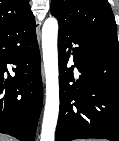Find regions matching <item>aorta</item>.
<instances>
[{"instance_id": "aorta-1", "label": "aorta", "mask_w": 119, "mask_h": 141, "mask_svg": "<svg viewBox=\"0 0 119 141\" xmlns=\"http://www.w3.org/2000/svg\"><path fill=\"white\" fill-rule=\"evenodd\" d=\"M58 21L54 17L45 20L42 28V49L46 77V104L42 123L41 141H54L59 113L58 80Z\"/></svg>"}]
</instances>
